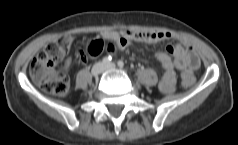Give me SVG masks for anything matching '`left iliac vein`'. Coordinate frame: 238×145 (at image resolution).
<instances>
[{"label":"left iliac vein","mask_w":238,"mask_h":145,"mask_svg":"<svg viewBox=\"0 0 238 145\" xmlns=\"http://www.w3.org/2000/svg\"><path fill=\"white\" fill-rule=\"evenodd\" d=\"M115 69H116V65L114 63H109L104 66V71L115 70Z\"/></svg>","instance_id":"4c4485c4"}]
</instances>
